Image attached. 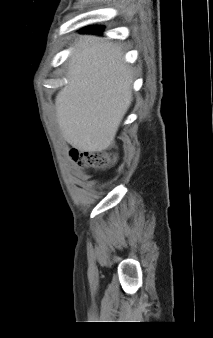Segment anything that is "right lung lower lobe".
<instances>
[{
  "mask_svg": "<svg viewBox=\"0 0 213 338\" xmlns=\"http://www.w3.org/2000/svg\"><path fill=\"white\" fill-rule=\"evenodd\" d=\"M103 30V27L101 26H92V27H88L83 29L81 32H88V33H96V34H100Z\"/></svg>",
  "mask_w": 213,
  "mask_h": 338,
  "instance_id": "right-lung-lower-lobe-1",
  "label": "right lung lower lobe"
}]
</instances>
